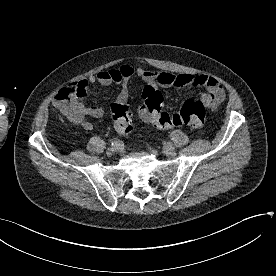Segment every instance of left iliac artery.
<instances>
[{
    "mask_svg": "<svg viewBox=\"0 0 276 276\" xmlns=\"http://www.w3.org/2000/svg\"><path fill=\"white\" fill-rule=\"evenodd\" d=\"M164 148L165 149H171V148H174V146L171 142H166V143H164Z\"/></svg>",
    "mask_w": 276,
    "mask_h": 276,
    "instance_id": "left-iliac-artery-1",
    "label": "left iliac artery"
}]
</instances>
